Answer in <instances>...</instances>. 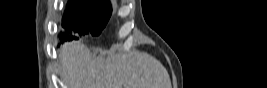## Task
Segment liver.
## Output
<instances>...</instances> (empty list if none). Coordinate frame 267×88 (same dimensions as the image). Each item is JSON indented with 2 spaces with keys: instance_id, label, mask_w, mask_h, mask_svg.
I'll return each mask as SVG.
<instances>
[{
  "instance_id": "6515ba94",
  "label": "liver",
  "mask_w": 267,
  "mask_h": 88,
  "mask_svg": "<svg viewBox=\"0 0 267 88\" xmlns=\"http://www.w3.org/2000/svg\"><path fill=\"white\" fill-rule=\"evenodd\" d=\"M58 56L65 88H171L165 67L147 53L94 58L80 42H67Z\"/></svg>"
}]
</instances>
